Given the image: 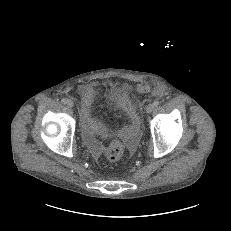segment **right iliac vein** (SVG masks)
Masks as SVG:
<instances>
[{
    "label": "right iliac vein",
    "instance_id": "right-iliac-vein-1",
    "mask_svg": "<svg viewBox=\"0 0 231 231\" xmlns=\"http://www.w3.org/2000/svg\"><path fill=\"white\" fill-rule=\"evenodd\" d=\"M66 104L70 108H72L74 106V102L71 99H68Z\"/></svg>",
    "mask_w": 231,
    "mask_h": 231
}]
</instances>
